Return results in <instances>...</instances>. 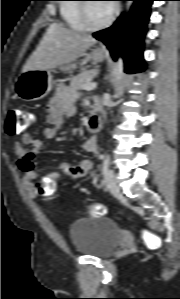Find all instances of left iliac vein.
<instances>
[{"mask_svg": "<svg viewBox=\"0 0 180 299\" xmlns=\"http://www.w3.org/2000/svg\"><path fill=\"white\" fill-rule=\"evenodd\" d=\"M104 181H105L106 187L112 194H114V195L119 194L120 188H119L118 180L112 170L109 169L106 172Z\"/></svg>", "mask_w": 180, "mask_h": 299, "instance_id": "left-iliac-vein-1", "label": "left iliac vein"}]
</instances>
